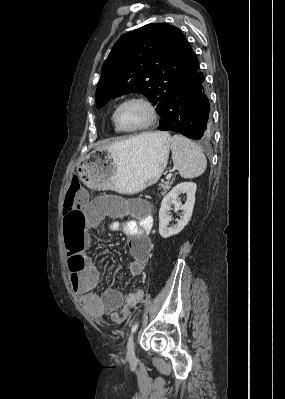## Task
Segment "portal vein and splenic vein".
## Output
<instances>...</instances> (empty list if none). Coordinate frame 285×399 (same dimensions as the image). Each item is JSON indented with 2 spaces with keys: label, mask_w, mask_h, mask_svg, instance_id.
<instances>
[{
  "label": "portal vein and splenic vein",
  "mask_w": 285,
  "mask_h": 399,
  "mask_svg": "<svg viewBox=\"0 0 285 399\" xmlns=\"http://www.w3.org/2000/svg\"><path fill=\"white\" fill-rule=\"evenodd\" d=\"M172 177V173H169L167 176H166V179H170Z\"/></svg>",
  "instance_id": "1"
}]
</instances>
